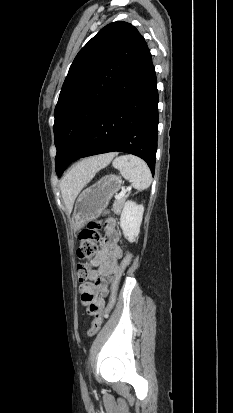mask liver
I'll list each match as a JSON object with an SVG mask.
<instances>
[{"label":"liver","mask_w":233,"mask_h":413,"mask_svg":"<svg viewBox=\"0 0 233 413\" xmlns=\"http://www.w3.org/2000/svg\"><path fill=\"white\" fill-rule=\"evenodd\" d=\"M116 153L103 154L85 159L77 163L61 180V193L68 212H71L74 201L83 187L95 174L105 168Z\"/></svg>","instance_id":"liver-1"}]
</instances>
